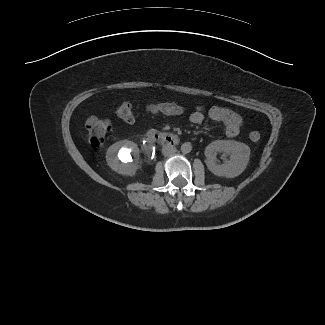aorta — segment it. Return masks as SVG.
<instances>
[{"label":"aorta","mask_w":325,"mask_h":325,"mask_svg":"<svg viewBox=\"0 0 325 325\" xmlns=\"http://www.w3.org/2000/svg\"><path fill=\"white\" fill-rule=\"evenodd\" d=\"M192 150V145L189 142H185L181 145V152L183 154L190 153Z\"/></svg>","instance_id":"1"}]
</instances>
